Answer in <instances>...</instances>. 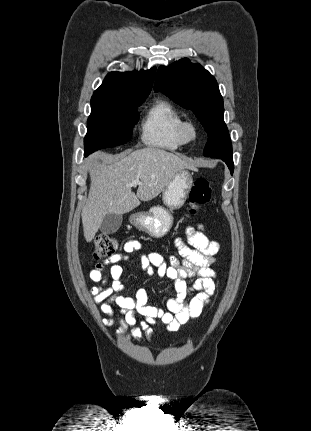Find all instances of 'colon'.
Masks as SVG:
<instances>
[{
    "mask_svg": "<svg viewBox=\"0 0 311 431\" xmlns=\"http://www.w3.org/2000/svg\"><path fill=\"white\" fill-rule=\"evenodd\" d=\"M212 190L209 181L204 177L196 178L189 193V213L195 215L201 212L209 203ZM118 248V243L114 237L108 234L99 235L95 242L93 256L96 260H101L113 255Z\"/></svg>",
    "mask_w": 311,
    "mask_h": 431,
    "instance_id": "1",
    "label": "colon"
}]
</instances>
